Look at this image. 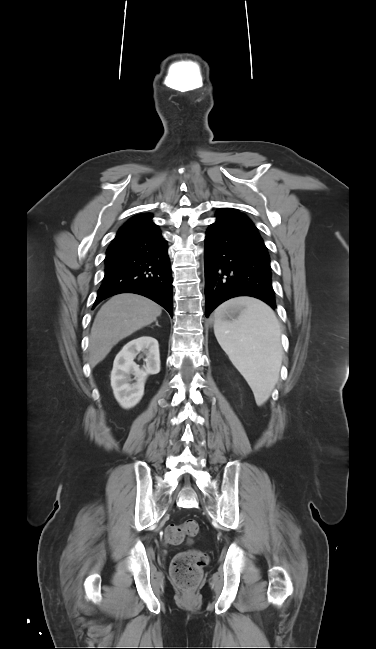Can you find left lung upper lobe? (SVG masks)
<instances>
[{
  "label": "left lung upper lobe",
  "mask_w": 376,
  "mask_h": 649,
  "mask_svg": "<svg viewBox=\"0 0 376 649\" xmlns=\"http://www.w3.org/2000/svg\"><path fill=\"white\" fill-rule=\"evenodd\" d=\"M216 216L217 217H234V218H238V219L248 223L249 225L254 226L252 221L249 218H247L243 213H240L238 210H235V209H232V208H226V209L218 210L217 213H216Z\"/></svg>",
  "instance_id": "left-lung-upper-lobe-1"
}]
</instances>
